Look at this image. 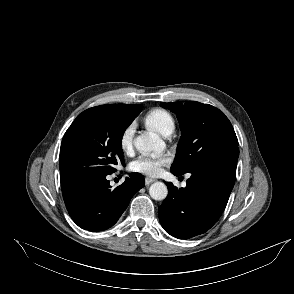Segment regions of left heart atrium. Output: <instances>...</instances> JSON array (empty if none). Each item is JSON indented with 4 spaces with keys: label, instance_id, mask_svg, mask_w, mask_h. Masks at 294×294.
<instances>
[{
    "label": "left heart atrium",
    "instance_id": "1",
    "mask_svg": "<svg viewBox=\"0 0 294 294\" xmlns=\"http://www.w3.org/2000/svg\"><path fill=\"white\" fill-rule=\"evenodd\" d=\"M167 156L142 155L130 163L133 172L147 176H157L161 173L162 167L168 164Z\"/></svg>",
    "mask_w": 294,
    "mask_h": 294
}]
</instances>
